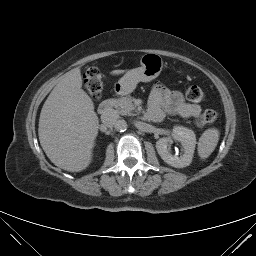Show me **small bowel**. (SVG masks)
Here are the masks:
<instances>
[{
    "instance_id": "small-bowel-1",
    "label": "small bowel",
    "mask_w": 256,
    "mask_h": 256,
    "mask_svg": "<svg viewBox=\"0 0 256 256\" xmlns=\"http://www.w3.org/2000/svg\"><path fill=\"white\" fill-rule=\"evenodd\" d=\"M201 113L198 104L188 103L179 91H172L161 84H156L149 98V117L162 122L167 115L183 118L197 117Z\"/></svg>"
}]
</instances>
